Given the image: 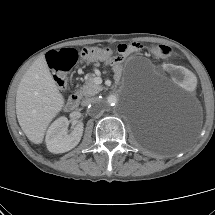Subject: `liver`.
<instances>
[{
    "instance_id": "liver-1",
    "label": "liver",
    "mask_w": 215,
    "mask_h": 215,
    "mask_svg": "<svg viewBox=\"0 0 215 215\" xmlns=\"http://www.w3.org/2000/svg\"><path fill=\"white\" fill-rule=\"evenodd\" d=\"M64 103L45 57L38 58L23 75L16 93L17 119L31 142L42 143L47 127Z\"/></svg>"
}]
</instances>
